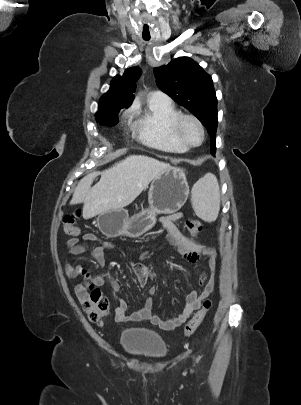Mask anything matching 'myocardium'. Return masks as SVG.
Here are the masks:
<instances>
[{
    "label": "myocardium",
    "mask_w": 301,
    "mask_h": 405,
    "mask_svg": "<svg viewBox=\"0 0 301 405\" xmlns=\"http://www.w3.org/2000/svg\"><path fill=\"white\" fill-rule=\"evenodd\" d=\"M193 121L200 129L201 132V141L198 144H191L187 141L183 134V124L185 121ZM173 131L177 138L187 147V148H196L203 144L205 141V128L203 123L192 114H179L173 122Z\"/></svg>",
    "instance_id": "obj_1"
}]
</instances>
